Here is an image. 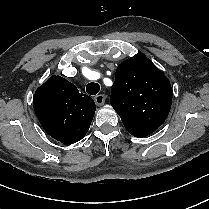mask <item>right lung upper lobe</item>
Wrapping results in <instances>:
<instances>
[{
	"label": "right lung upper lobe",
	"instance_id": "1",
	"mask_svg": "<svg viewBox=\"0 0 209 209\" xmlns=\"http://www.w3.org/2000/svg\"><path fill=\"white\" fill-rule=\"evenodd\" d=\"M33 106L43 129L62 143L81 140L89 130L96 106L61 76L50 77L33 97Z\"/></svg>",
	"mask_w": 209,
	"mask_h": 209
}]
</instances>
